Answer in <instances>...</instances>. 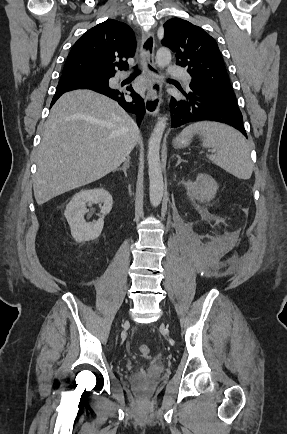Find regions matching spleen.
I'll list each match as a JSON object with an SVG mask.
<instances>
[{
	"label": "spleen",
	"mask_w": 287,
	"mask_h": 434,
	"mask_svg": "<svg viewBox=\"0 0 287 434\" xmlns=\"http://www.w3.org/2000/svg\"><path fill=\"white\" fill-rule=\"evenodd\" d=\"M182 135L197 134L202 146L216 150L208 158L238 179L247 180L253 172L250 151L244 137L232 127L213 121H200L183 129Z\"/></svg>",
	"instance_id": "3e777b00"
}]
</instances>
